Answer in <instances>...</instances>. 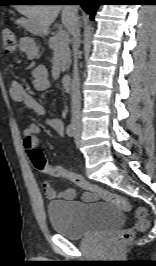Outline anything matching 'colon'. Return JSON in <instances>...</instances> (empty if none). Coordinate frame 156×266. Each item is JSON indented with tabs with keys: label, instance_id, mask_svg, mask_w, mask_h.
<instances>
[{
	"label": "colon",
	"instance_id": "colon-1",
	"mask_svg": "<svg viewBox=\"0 0 156 266\" xmlns=\"http://www.w3.org/2000/svg\"><path fill=\"white\" fill-rule=\"evenodd\" d=\"M1 38L2 46L5 52L8 54H12L13 52H15L17 47V38L15 32L10 28H5L2 32ZM28 156L37 171L67 179L76 184L77 186L81 187L85 191L102 198L110 204H113L124 212L133 211L136 217L135 225L131 228L123 230L121 233L113 237L108 243L109 248H116L118 245L131 240L136 232H142L148 228L149 221L147 218V211L144 207L140 206L137 208H133L129 200L124 196L102 189L88 182L81 175L67 170L61 166L48 165L43 152L38 148L31 150L28 153Z\"/></svg>",
	"mask_w": 156,
	"mask_h": 266
}]
</instances>
